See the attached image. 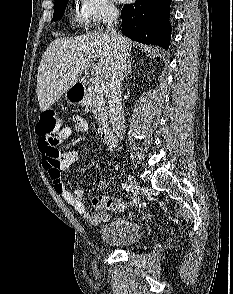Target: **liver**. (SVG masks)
Instances as JSON below:
<instances>
[{
    "mask_svg": "<svg viewBox=\"0 0 233 294\" xmlns=\"http://www.w3.org/2000/svg\"><path fill=\"white\" fill-rule=\"evenodd\" d=\"M121 42L123 52L129 56L133 42L123 36ZM115 52L110 34L101 31L74 38H57L51 42L38 68L36 92L41 111L58 101L91 66L92 76L108 79Z\"/></svg>",
    "mask_w": 233,
    "mask_h": 294,
    "instance_id": "liver-1",
    "label": "liver"
}]
</instances>
